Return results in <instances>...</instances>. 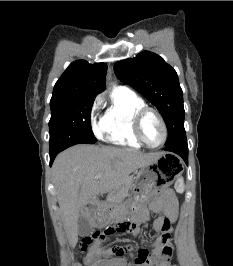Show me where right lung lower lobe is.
I'll list each match as a JSON object with an SVG mask.
<instances>
[{"label":"right lung lower lobe","instance_id":"1","mask_svg":"<svg viewBox=\"0 0 233 266\" xmlns=\"http://www.w3.org/2000/svg\"><path fill=\"white\" fill-rule=\"evenodd\" d=\"M59 152H54V153H50V166L52 165L56 155L58 154Z\"/></svg>","mask_w":233,"mask_h":266}]
</instances>
